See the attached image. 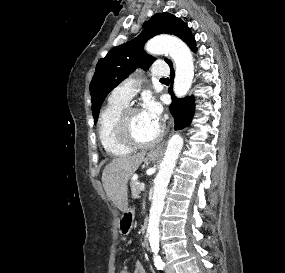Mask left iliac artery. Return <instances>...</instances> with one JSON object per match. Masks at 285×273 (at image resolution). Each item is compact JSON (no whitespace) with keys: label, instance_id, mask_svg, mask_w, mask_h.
I'll list each match as a JSON object with an SVG mask.
<instances>
[{"label":"left iliac artery","instance_id":"obj_1","mask_svg":"<svg viewBox=\"0 0 285 273\" xmlns=\"http://www.w3.org/2000/svg\"><path fill=\"white\" fill-rule=\"evenodd\" d=\"M154 264H155V267L159 270H163L165 267V263L162 261L159 255L154 256Z\"/></svg>","mask_w":285,"mask_h":273}]
</instances>
